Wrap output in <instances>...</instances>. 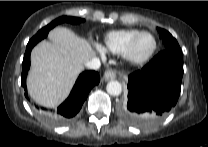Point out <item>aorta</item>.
Here are the masks:
<instances>
[{
  "instance_id": "aorta-1",
  "label": "aorta",
  "mask_w": 208,
  "mask_h": 147,
  "mask_svg": "<svg viewBox=\"0 0 208 147\" xmlns=\"http://www.w3.org/2000/svg\"><path fill=\"white\" fill-rule=\"evenodd\" d=\"M106 90L110 95L117 96L121 94L122 86L118 81H110L106 86Z\"/></svg>"
}]
</instances>
